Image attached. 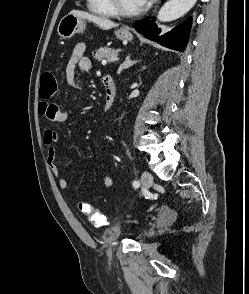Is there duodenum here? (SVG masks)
Instances as JSON below:
<instances>
[{
	"instance_id": "410a0bca",
	"label": "duodenum",
	"mask_w": 249,
	"mask_h": 294,
	"mask_svg": "<svg viewBox=\"0 0 249 294\" xmlns=\"http://www.w3.org/2000/svg\"><path fill=\"white\" fill-rule=\"evenodd\" d=\"M102 83L105 90L103 111L107 113L111 109L115 101L116 85L114 80L109 75H105L102 77Z\"/></svg>"
}]
</instances>
